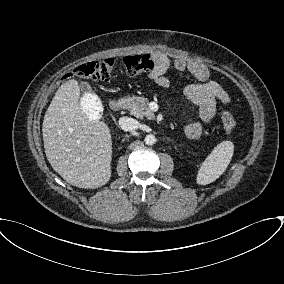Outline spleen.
Instances as JSON below:
<instances>
[{
  "label": "spleen",
  "instance_id": "1",
  "mask_svg": "<svg viewBox=\"0 0 284 284\" xmlns=\"http://www.w3.org/2000/svg\"><path fill=\"white\" fill-rule=\"evenodd\" d=\"M233 151L231 141L219 143L202 163L197 174V184L207 185L219 178L228 167Z\"/></svg>",
  "mask_w": 284,
  "mask_h": 284
}]
</instances>
